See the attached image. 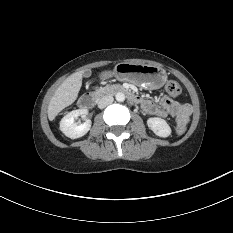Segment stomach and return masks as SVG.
<instances>
[{
  "mask_svg": "<svg viewBox=\"0 0 233 233\" xmlns=\"http://www.w3.org/2000/svg\"><path fill=\"white\" fill-rule=\"evenodd\" d=\"M111 76L153 89L161 88L167 81V75L162 68L129 62L118 63L113 71L101 74L102 78H109Z\"/></svg>",
  "mask_w": 233,
  "mask_h": 233,
  "instance_id": "0dacf381",
  "label": "stomach"
}]
</instances>
